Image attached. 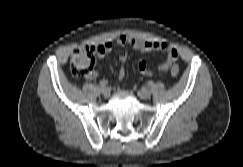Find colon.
<instances>
[{
  "label": "colon",
  "mask_w": 243,
  "mask_h": 167,
  "mask_svg": "<svg viewBox=\"0 0 243 167\" xmlns=\"http://www.w3.org/2000/svg\"><path fill=\"white\" fill-rule=\"evenodd\" d=\"M95 49L91 46H80L76 48L71 56L70 64L72 73L77 77L89 76L95 66ZM179 74V66L171 67V75L176 77Z\"/></svg>",
  "instance_id": "colon-1"
}]
</instances>
